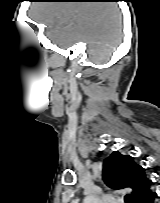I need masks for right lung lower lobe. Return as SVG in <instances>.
Instances as JSON below:
<instances>
[{
  "mask_svg": "<svg viewBox=\"0 0 160 203\" xmlns=\"http://www.w3.org/2000/svg\"><path fill=\"white\" fill-rule=\"evenodd\" d=\"M157 198V194L152 192L148 197L144 198L142 203H154V200Z\"/></svg>",
  "mask_w": 160,
  "mask_h": 203,
  "instance_id": "1",
  "label": "right lung lower lobe"
}]
</instances>
